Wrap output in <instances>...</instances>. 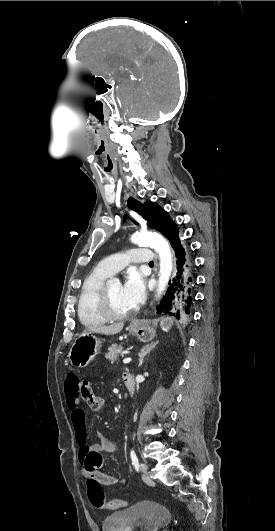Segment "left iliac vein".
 <instances>
[{
	"label": "left iliac vein",
	"instance_id": "left-iliac-vein-1",
	"mask_svg": "<svg viewBox=\"0 0 275 531\" xmlns=\"http://www.w3.org/2000/svg\"><path fill=\"white\" fill-rule=\"evenodd\" d=\"M141 471H142V479L147 484H152V480L150 476L147 474L148 466L144 463H140L139 465Z\"/></svg>",
	"mask_w": 275,
	"mask_h": 531
}]
</instances>
